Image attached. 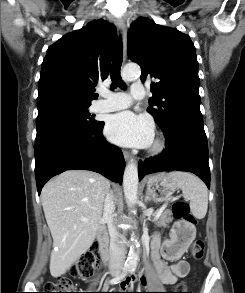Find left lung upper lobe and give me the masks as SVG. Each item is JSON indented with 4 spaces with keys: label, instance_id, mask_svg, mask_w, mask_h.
<instances>
[{
    "label": "left lung upper lobe",
    "instance_id": "left-lung-upper-lobe-1",
    "mask_svg": "<svg viewBox=\"0 0 245 293\" xmlns=\"http://www.w3.org/2000/svg\"><path fill=\"white\" fill-rule=\"evenodd\" d=\"M128 56L141 67V81L153 78L148 112L163 129L175 120L203 124L196 50L177 29L140 18L128 32Z\"/></svg>",
    "mask_w": 245,
    "mask_h": 293
}]
</instances>
